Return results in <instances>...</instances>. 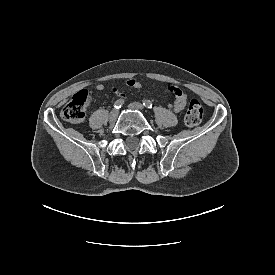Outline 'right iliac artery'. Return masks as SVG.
I'll use <instances>...</instances> for the list:
<instances>
[{
    "instance_id": "1",
    "label": "right iliac artery",
    "mask_w": 275,
    "mask_h": 275,
    "mask_svg": "<svg viewBox=\"0 0 275 275\" xmlns=\"http://www.w3.org/2000/svg\"><path fill=\"white\" fill-rule=\"evenodd\" d=\"M124 104V101L123 100H117L115 103H114V108L115 109H119L121 108V106Z\"/></svg>"
}]
</instances>
